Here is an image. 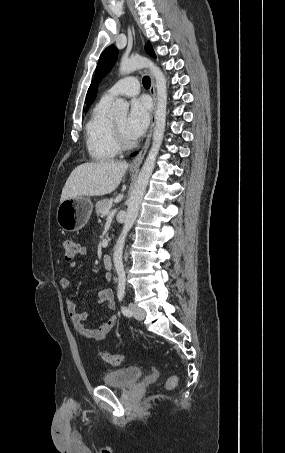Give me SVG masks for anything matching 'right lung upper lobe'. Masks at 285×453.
I'll return each mask as SVG.
<instances>
[{
	"instance_id": "1",
	"label": "right lung upper lobe",
	"mask_w": 285,
	"mask_h": 453,
	"mask_svg": "<svg viewBox=\"0 0 285 453\" xmlns=\"http://www.w3.org/2000/svg\"><path fill=\"white\" fill-rule=\"evenodd\" d=\"M93 83H94V82L92 81V83H91V85H90V87H89V89H88L86 101H88V99H89V97H90V95H91V92H92V89H93Z\"/></svg>"
}]
</instances>
